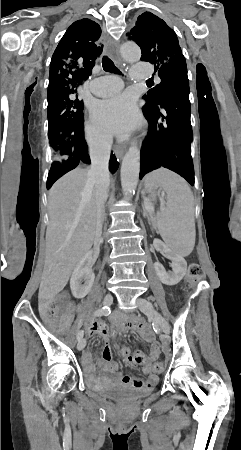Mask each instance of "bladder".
Listing matches in <instances>:
<instances>
[{
  "mask_svg": "<svg viewBox=\"0 0 241 450\" xmlns=\"http://www.w3.org/2000/svg\"><path fill=\"white\" fill-rule=\"evenodd\" d=\"M104 393L107 397L119 401L134 400L141 396L135 389L123 384L109 385L105 388Z\"/></svg>",
  "mask_w": 241,
  "mask_h": 450,
  "instance_id": "obj_1",
  "label": "bladder"
}]
</instances>
